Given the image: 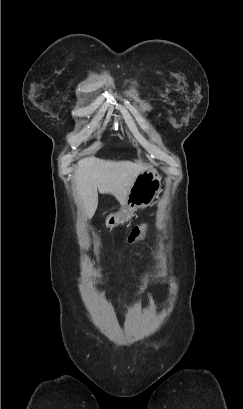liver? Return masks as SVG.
<instances>
[{
	"label": "liver",
	"instance_id": "6515ba94",
	"mask_svg": "<svg viewBox=\"0 0 243 409\" xmlns=\"http://www.w3.org/2000/svg\"><path fill=\"white\" fill-rule=\"evenodd\" d=\"M147 165L142 162L112 161L95 157L77 163L74 172L75 196L91 218L98 206V191L111 194L124 206L136 177Z\"/></svg>",
	"mask_w": 243,
	"mask_h": 409
}]
</instances>
